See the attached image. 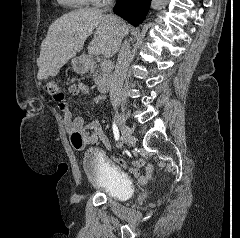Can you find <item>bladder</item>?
I'll return each mask as SVG.
<instances>
[{
  "mask_svg": "<svg viewBox=\"0 0 240 238\" xmlns=\"http://www.w3.org/2000/svg\"><path fill=\"white\" fill-rule=\"evenodd\" d=\"M82 167L88 183L107 196L125 200L132 195L133 185L129 177L114 167L97 149L85 151Z\"/></svg>",
  "mask_w": 240,
  "mask_h": 238,
  "instance_id": "31cf9c89",
  "label": "bladder"
}]
</instances>
